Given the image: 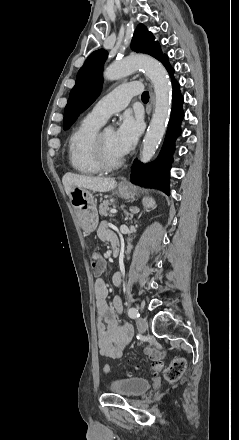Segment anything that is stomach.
<instances>
[{"instance_id": "obj_1", "label": "stomach", "mask_w": 239, "mask_h": 440, "mask_svg": "<svg viewBox=\"0 0 239 440\" xmlns=\"http://www.w3.org/2000/svg\"><path fill=\"white\" fill-rule=\"evenodd\" d=\"M121 198L129 200L137 194V188H118ZM70 202L75 210L79 224L87 234L95 232L98 226V212L94 202V196L89 190L84 188H75L70 192Z\"/></svg>"}]
</instances>
